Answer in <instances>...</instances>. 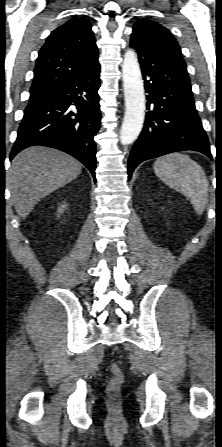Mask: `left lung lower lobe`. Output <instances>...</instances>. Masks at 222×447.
Segmentation results:
<instances>
[{
    "label": "left lung lower lobe",
    "mask_w": 222,
    "mask_h": 447,
    "mask_svg": "<svg viewBox=\"0 0 222 447\" xmlns=\"http://www.w3.org/2000/svg\"><path fill=\"white\" fill-rule=\"evenodd\" d=\"M148 93L146 122L128 160V178L143 161L193 150L212 158L197 114L186 65L174 56L131 38ZM153 104V107H151Z\"/></svg>",
    "instance_id": "1"
}]
</instances>
